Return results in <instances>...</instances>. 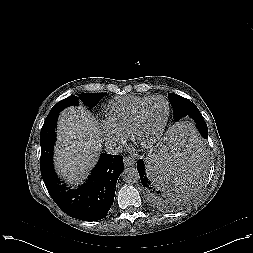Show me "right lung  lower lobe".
Listing matches in <instances>:
<instances>
[{"mask_svg": "<svg viewBox=\"0 0 253 253\" xmlns=\"http://www.w3.org/2000/svg\"><path fill=\"white\" fill-rule=\"evenodd\" d=\"M58 115H53L55 124ZM123 169L122 156L102 153L87 182L72 190L56 176L52 156L40 159L41 175L54 202L69 216L83 221H97L107 216Z\"/></svg>", "mask_w": 253, "mask_h": 253, "instance_id": "right-lung-lower-lobe-1", "label": "right lung lower lobe"}]
</instances>
